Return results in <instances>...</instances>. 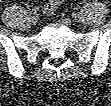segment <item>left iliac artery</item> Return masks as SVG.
Returning a JSON list of instances; mask_svg holds the SVG:
<instances>
[{"instance_id": "44dca946", "label": "left iliac artery", "mask_w": 111, "mask_h": 106, "mask_svg": "<svg viewBox=\"0 0 111 106\" xmlns=\"http://www.w3.org/2000/svg\"><path fill=\"white\" fill-rule=\"evenodd\" d=\"M80 8H81V7H80L79 5H78V6H76V9H77V10H79Z\"/></svg>"}]
</instances>
